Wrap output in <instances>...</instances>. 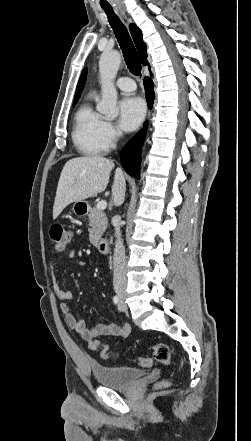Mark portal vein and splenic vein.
I'll return each instance as SVG.
<instances>
[{
  "mask_svg": "<svg viewBox=\"0 0 251 441\" xmlns=\"http://www.w3.org/2000/svg\"><path fill=\"white\" fill-rule=\"evenodd\" d=\"M107 206V202L105 200H101L97 203L96 208L99 210H104Z\"/></svg>",
  "mask_w": 251,
  "mask_h": 441,
  "instance_id": "obj_1",
  "label": "portal vein and splenic vein"
}]
</instances>
